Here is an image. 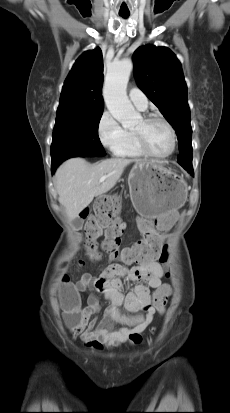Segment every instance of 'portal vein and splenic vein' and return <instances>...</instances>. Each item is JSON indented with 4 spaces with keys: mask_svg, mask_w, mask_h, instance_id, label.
Masks as SVG:
<instances>
[{
    "mask_svg": "<svg viewBox=\"0 0 230 413\" xmlns=\"http://www.w3.org/2000/svg\"><path fill=\"white\" fill-rule=\"evenodd\" d=\"M106 178H107L106 176L101 177L100 180H99V182H100V183L104 182V181L106 180Z\"/></svg>",
    "mask_w": 230,
    "mask_h": 413,
    "instance_id": "portal-vein-and-splenic-vein-1",
    "label": "portal vein and splenic vein"
}]
</instances>
